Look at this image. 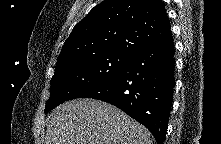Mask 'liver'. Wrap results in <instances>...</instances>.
<instances>
[{"label":"liver","mask_w":221,"mask_h":144,"mask_svg":"<svg viewBox=\"0 0 221 144\" xmlns=\"http://www.w3.org/2000/svg\"><path fill=\"white\" fill-rule=\"evenodd\" d=\"M46 144H152L150 132L117 107L95 99H76L48 117Z\"/></svg>","instance_id":"1"}]
</instances>
